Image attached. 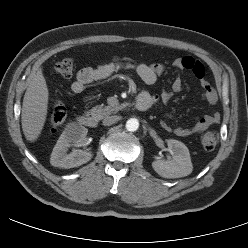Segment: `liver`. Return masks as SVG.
I'll return each instance as SVG.
<instances>
[{"label": "liver", "mask_w": 248, "mask_h": 248, "mask_svg": "<svg viewBox=\"0 0 248 248\" xmlns=\"http://www.w3.org/2000/svg\"><path fill=\"white\" fill-rule=\"evenodd\" d=\"M48 88L42 69L31 77L22 105V130L25 138L34 142L44 127L48 108Z\"/></svg>", "instance_id": "liver-1"}]
</instances>
